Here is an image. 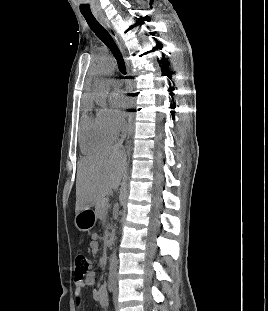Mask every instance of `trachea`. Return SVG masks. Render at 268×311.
Segmentation results:
<instances>
[{
    "mask_svg": "<svg viewBox=\"0 0 268 311\" xmlns=\"http://www.w3.org/2000/svg\"><path fill=\"white\" fill-rule=\"evenodd\" d=\"M86 22L88 23L91 30L96 34V36L110 49L113 56L115 57L119 71L122 74H126V66L123 59V56L117 47L115 41L111 37V35L100 25V23L96 20L93 15L83 14Z\"/></svg>",
    "mask_w": 268,
    "mask_h": 311,
    "instance_id": "3493384b",
    "label": "trachea"
}]
</instances>
